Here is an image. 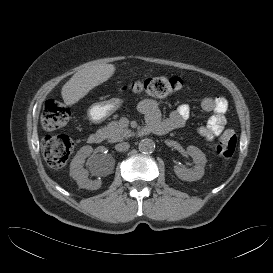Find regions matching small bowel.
I'll list each match as a JSON object with an SVG mask.
<instances>
[{"label":"small bowel","instance_id":"obj_1","mask_svg":"<svg viewBox=\"0 0 273 273\" xmlns=\"http://www.w3.org/2000/svg\"><path fill=\"white\" fill-rule=\"evenodd\" d=\"M202 109L214 114L207 120L206 124L197 128V133L206 141H213L225 131L227 100L222 96L205 97L201 103ZM139 111L145 116L147 122H153L161 118V112L157 101L144 99L139 103ZM190 108L186 104L178 106L165 121L170 130L183 127L188 119Z\"/></svg>","mask_w":273,"mask_h":273}]
</instances>
